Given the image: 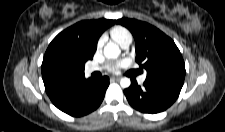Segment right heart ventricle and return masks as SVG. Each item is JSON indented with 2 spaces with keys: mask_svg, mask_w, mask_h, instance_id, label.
<instances>
[{
  "mask_svg": "<svg viewBox=\"0 0 225 132\" xmlns=\"http://www.w3.org/2000/svg\"><path fill=\"white\" fill-rule=\"evenodd\" d=\"M111 38L116 41L119 45L125 43H131L132 34L131 32L123 26H115L110 30Z\"/></svg>",
  "mask_w": 225,
  "mask_h": 132,
  "instance_id": "e07e8e85",
  "label": "right heart ventricle"
}]
</instances>
